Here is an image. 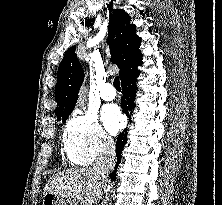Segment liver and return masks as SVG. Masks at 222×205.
I'll use <instances>...</instances> for the list:
<instances>
[{
    "mask_svg": "<svg viewBox=\"0 0 222 205\" xmlns=\"http://www.w3.org/2000/svg\"><path fill=\"white\" fill-rule=\"evenodd\" d=\"M104 188V181L94 170L73 168L50 178L43 193H54L69 203L93 205L101 199Z\"/></svg>",
    "mask_w": 222,
    "mask_h": 205,
    "instance_id": "liver-1",
    "label": "liver"
}]
</instances>
